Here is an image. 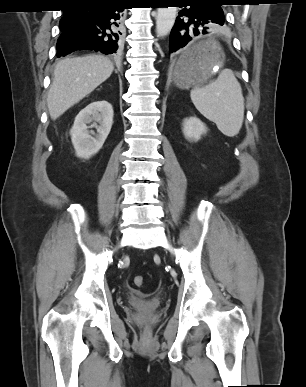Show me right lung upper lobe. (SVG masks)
Returning <instances> with one entry per match:
<instances>
[{"instance_id":"1","label":"right lung upper lobe","mask_w":306,"mask_h":387,"mask_svg":"<svg viewBox=\"0 0 306 387\" xmlns=\"http://www.w3.org/2000/svg\"><path fill=\"white\" fill-rule=\"evenodd\" d=\"M68 7H81L85 5H100L112 0H65ZM72 9L65 10L64 16H69Z\"/></svg>"}]
</instances>
